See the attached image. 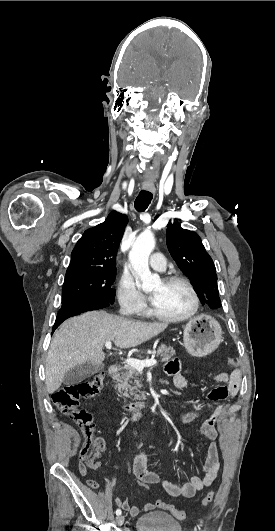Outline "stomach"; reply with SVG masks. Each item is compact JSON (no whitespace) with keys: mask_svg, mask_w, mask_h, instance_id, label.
Returning <instances> with one entry per match:
<instances>
[{"mask_svg":"<svg viewBox=\"0 0 275 531\" xmlns=\"http://www.w3.org/2000/svg\"><path fill=\"white\" fill-rule=\"evenodd\" d=\"M184 347L193 357H205L218 349L222 337V329L213 317L199 315L188 321L183 333Z\"/></svg>","mask_w":275,"mask_h":531,"instance_id":"0dacf381","label":"stomach"}]
</instances>
